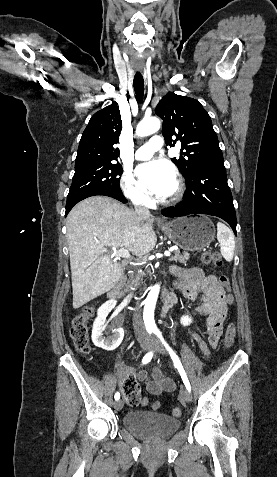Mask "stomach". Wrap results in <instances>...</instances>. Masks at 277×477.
Segmentation results:
<instances>
[{
	"mask_svg": "<svg viewBox=\"0 0 277 477\" xmlns=\"http://www.w3.org/2000/svg\"><path fill=\"white\" fill-rule=\"evenodd\" d=\"M162 231L185 251H201L214 240L215 228L207 216L176 218L163 226Z\"/></svg>",
	"mask_w": 277,
	"mask_h": 477,
	"instance_id": "obj_1",
	"label": "stomach"
}]
</instances>
